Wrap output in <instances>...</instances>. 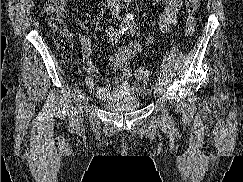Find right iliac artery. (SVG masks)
<instances>
[{"label":"right iliac artery","mask_w":243,"mask_h":182,"mask_svg":"<svg viewBox=\"0 0 243 182\" xmlns=\"http://www.w3.org/2000/svg\"><path fill=\"white\" fill-rule=\"evenodd\" d=\"M128 28H129L128 23H122L115 32L116 36L122 35ZM80 94H81V89L79 88V84L77 83V84H75V87H74V100L75 101L78 100ZM75 114H76V110H73L71 112L70 123H69V127L71 130L74 129V127L76 125V120L74 117Z\"/></svg>","instance_id":"right-iliac-artery-1"}]
</instances>
